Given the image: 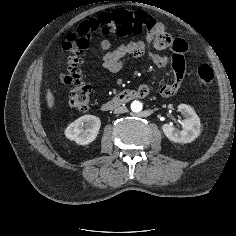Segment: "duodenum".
<instances>
[{
  "mask_svg": "<svg viewBox=\"0 0 236 236\" xmlns=\"http://www.w3.org/2000/svg\"><path fill=\"white\" fill-rule=\"evenodd\" d=\"M144 96L139 90L135 89H125L121 92H119L116 96L109 99L108 101H105L102 104L103 110H111L114 108H118L134 99L140 98Z\"/></svg>",
  "mask_w": 236,
  "mask_h": 236,
  "instance_id": "410a0bca",
  "label": "duodenum"
}]
</instances>
